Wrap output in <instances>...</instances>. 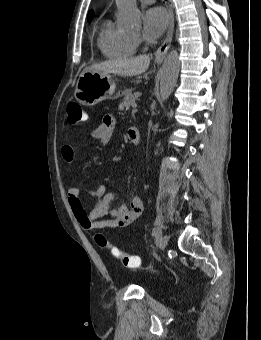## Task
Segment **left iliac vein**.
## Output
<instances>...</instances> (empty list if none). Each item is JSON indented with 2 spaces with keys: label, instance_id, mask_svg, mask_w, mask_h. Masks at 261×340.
<instances>
[{
  "label": "left iliac vein",
  "instance_id": "4c4485c4",
  "mask_svg": "<svg viewBox=\"0 0 261 340\" xmlns=\"http://www.w3.org/2000/svg\"><path fill=\"white\" fill-rule=\"evenodd\" d=\"M169 237L168 235H164L160 238L158 242V247L160 250H164L168 244Z\"/></svg>",
  "mask_w": 261,
  "mask_h": 340
}]
</instances>
